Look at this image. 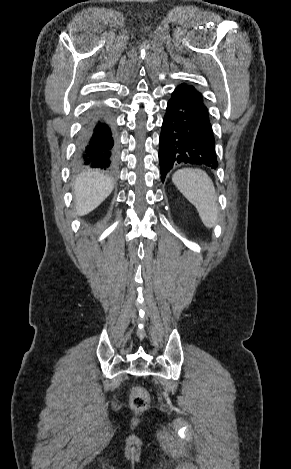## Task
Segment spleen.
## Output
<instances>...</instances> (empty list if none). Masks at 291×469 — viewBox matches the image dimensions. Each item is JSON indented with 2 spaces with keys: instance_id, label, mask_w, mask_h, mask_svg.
<instances>
[{
  "instance_id": "spleen-1",
  "label": "spleen",
  "mask_w": 291,
  "mask_h": 469,
  "mask_svg": "<svg viewBox=\"0 0 291 469\" xmlns=\"http://www.w3.org/2000/svg\"><path fill=\"white\" fill-rule=\"evenodd\" d=\"M172 182L196 207L203 224L212 228L217 222L219 206L214 184L207 173L201 169H180L173 174Z\"/></svg>"
}]
</instances>
